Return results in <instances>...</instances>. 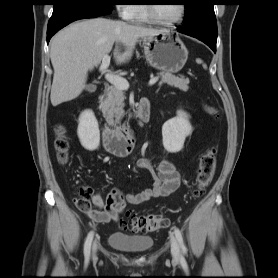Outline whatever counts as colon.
<instances>
[{
    "mask_svg": "<svg viewBox=\"0 0 278 278\" xmlns=\"http://www.w3.org/2000/svg\"><path fill=\"white\" fill-rule=\"evenodd\" d=\"M205 111L210 115H217L215 108L212 106H206ZM57 137L55 140V149L57 151V157L60 163L64 164L68 160V152L70 148L69 141L65 134L63 126L58 125L56 127ZM216 148H207L200 157L199 167L196 177L195 188L192 195L195 198L200 197L205 192L206 188L212 181V178L216 169ZM78 199L76 201L86 202L91 197V189L87 186H80L77 189ZM131 229L139 232H152L164 228L167 225V221L160 215H134L131 216ZM125 227L126 223H122Z\"/></svg>",
    "mask_w": 278,
    "mask_h": 278,
    "instance_id": "5ec220e1",
    "label": "colon"
}]
</instances>
